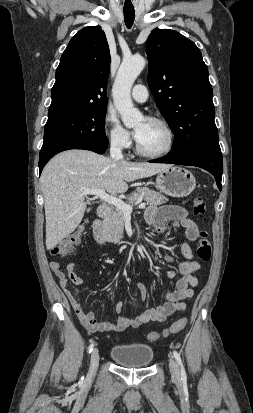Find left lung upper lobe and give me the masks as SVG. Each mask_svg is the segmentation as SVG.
I'll return each mask as SVG.
<instances>
[{
	"label": "left lung upper lobe",
	"instance_id": "5c2ea615",
	"mask_svg": "<svg viewBox=\"0 0 253 413\" xmlns=\"http://www.w3.org/2000/svg\"><path fill=\"white\" fill-rule=\"evenodd\" d=\"M146 52L148 85L175 135L170 154L221 152L213 91L198 47L176 31L156 28L148 37Z\"/></svg>",
	"mask_w": 253,
	"mask_h": 413
}]
</instances>
